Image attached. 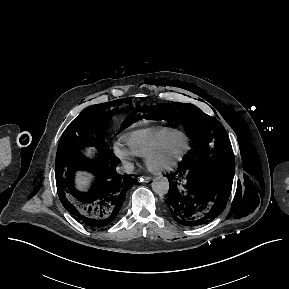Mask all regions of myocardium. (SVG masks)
Returning <instances> with one entry per match:
<instances>
[{
  "instance_id": "myocardium-1",
  "label": "myocardium",
  "mask_w": 289,
  "mask_h": 289,
  "mask_svg": "<svg viewBox=\"0 0 289 289\" xmlns=\"http://www.w3.org/2000/svg\"><path fill=\"white\" fill-rule=\"evenodd\" d=\"M181 140L183 142V148L179 154L172 157L167 163L163 165H157L156 159L160 157L167 149V147L175 140ZM190 149L189 138L183 132H177L159 146L152 149L145 156L146 167L154 174H162L175 170L186 158Z\"/></svg>"
}]
</instances>
